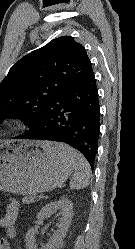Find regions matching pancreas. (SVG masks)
<instances>
[{"mask_svg":"<svg viewBox=\"0 0 135 249\" xmlns=\"http://www.w3.org/2000/svg\"><path fill=\"white\" fill-rule=\"evenodd\" d=\"M22 202L25 203V204L34 203L35 202V196L34 195H30L28 197H24L22 199Z\"/></svg>","mask_w":135,"mask_h":249,"instance_id":"obj_1","label":"pancreas"}]
</instances>
